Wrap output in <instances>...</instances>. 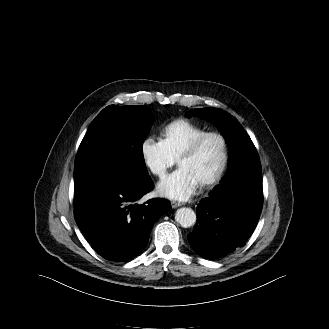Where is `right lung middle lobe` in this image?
Listing matches in <instances>:
<instances>
[{
  "label": "right lung middle lobe",
  "mask_w": 329,
  "mask_h": 329,
  "mask_svg": "<svg viewBox=\"0 0 329 329\" xmlns=\"http://www.w3.org/2000/svg\"><path fill=\"white\" fill-rule=\"evenodd\" d=\"M154 119L146 106L110 105L93 120L75 160L74 187L93 179L139 186L150 176L142 144Z\"/></svg>",
  "instance_id": "dd1d6c3e"
}]
</instances>
